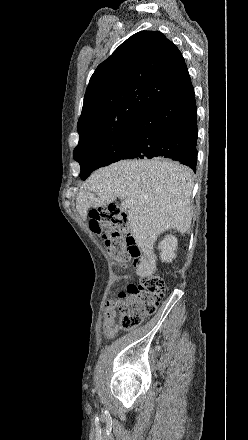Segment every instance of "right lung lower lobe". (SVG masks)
Returning <instances> with one entry per match:
<instances>
[{
	"instance_id": "98d812e1",
	"label": "right lung lower lobe",
	"mask_w": 248,
	"mask_h": 440,
	"mask_svg": "<svg viewBox=\"0 0 248 440\" xmlns=\"http://www.w3.org/2000/svg\"><path fill=\"white\" fill-rule=\"evenodd\" d=\"M126 127L130 144L122 159L161 156L196 171L198 131L194 89L152 106Z\"/></svg>"
}]
</instances>
